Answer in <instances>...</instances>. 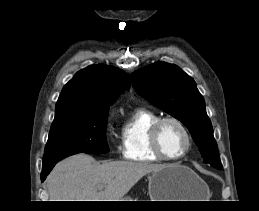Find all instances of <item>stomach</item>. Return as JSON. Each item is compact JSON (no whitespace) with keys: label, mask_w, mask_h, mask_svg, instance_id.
I'll return each mask as SVG.
<instances>
[{"label":"stomach","mask_w":259,"mask_h":211,"mask_svg":"<svg viewBox=\"0 0 259 211\" xmlns=\"http://www.w3.org/2000/svg\"><path fill=\"white\" fill-rule=\"evenodd\" d=\"M148 180L151 201H201L198 199L208 192L206 183L193 170L179 164L165 165Z\"/></svg>","instance_id":"1"}]
</instances>
